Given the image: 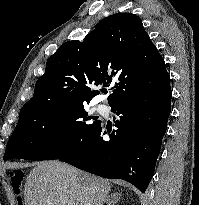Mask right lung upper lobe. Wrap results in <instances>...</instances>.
<instances>
[{
    "label": "right lung upper lobe",
    "mask_w": 199,
    "mask_h": 205,
    "mask_svg": "<svg viewBox=\"0 0 199 205\" xmlns=\"http://www.w3.org/2000/svg\"><path fill=\"white\" fill-rule=\"evenodd\" d=\"M167 72L164 59L132 13L102 20L82 42L63 43L46 63L27 104L63 102L86 104L99 94L95 85L113 84L112 103L130 92L142 78Z\"/></svg>",
    "instance_id": "1"
}]
</instances>
